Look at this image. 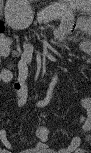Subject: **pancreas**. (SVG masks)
I'll return each mask as SVG.
<instances>
[{
	"mask_svg": "<svg viewBox=\"0 0 91 153\" xmlns=\"http://www.w3.org/2000/svg\"><path fill=\"white\" fill-rule=\"evenodd\" d=\"M56 13H59L61 18L65 22H71L73 20L72 14L68 13L66 10H64L61 7H58L56 5H50L49 7L42 9L38 13V19L41 21L45 16H47V15L54 16V15H56Z\"/></svg>",
	"mask_w": 91,
	"mask_h": 153,
	"instance_id": "cf45deb5",
	"label": "pancreas"
}]
</instances>
